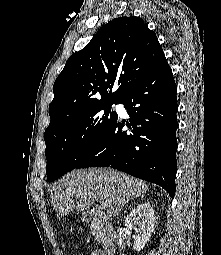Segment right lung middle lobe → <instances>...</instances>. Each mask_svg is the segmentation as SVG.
I'll use <instances>...</instances> for the list:
<instances>
[{
  "label": "right lung middle lobe",
  "mask_w": 221,
  "mask_h": 255,
  "mask_svg": "<svg viewBox=\"0 0 221 255\" xmlns=\"http://www.w3.org/2000/svg\"><path fill=\"white\" fill-rule=\"evenodd\" d=\"M101 102L79 110L44 134L47 180L76 168L117 120L112 104Z\"/></svg>",
  "instance_id": "right-lung-middle-lobe-1"
}]
</instances>
